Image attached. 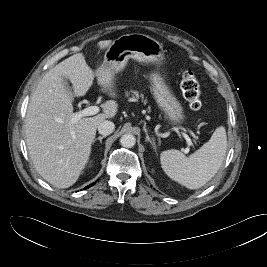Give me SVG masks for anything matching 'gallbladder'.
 Instances as JSON below:
<instances>
[{
  "instance_id": "gallbladder-1",
  "label": "gallbladder",
  "mask_w": 267,
  "mask_h": 267,
  "mask_svg": "<svg viewBox=\"0 0 267 267\" xmlns=\"http://www.w3.org/2000/svg\"><path fill=\"white\" fill-rule=\"evenodd\" d=\"M64 82H65L66 89L69 90V91H71L70 83L67 80H65Z\"/></svg>"
}]
</instances>
